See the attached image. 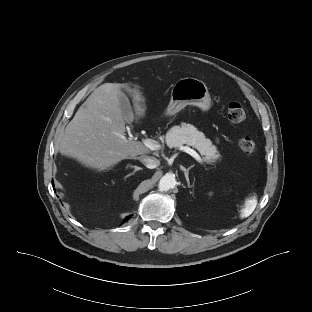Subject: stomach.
<instances>
[{"label":"stomach","mask_w":312,"mask_h":312,"mask_svg":"<svg viewBox=\"0 0 312 312\" xmlns=\"http://www.w3.org/2000/svg\"><path fill=\"white\" fill-rule=\"evenodd\" d=\"M187 105L197 106L202 111L211 108L210 94L203 81L191 77L178 80L171 90V99L165 114L175 115Z\"/></svg>","instance_id":"1"}]
</instances>
